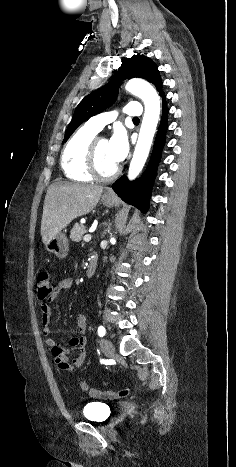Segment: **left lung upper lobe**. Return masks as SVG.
<instances>
[{
    "instance_id": "1",
    "label": "left lung upper lobe",
    "mask_w": 236,
    "mask_h": 467,
    "mask_svg": "<svg viewBox=\"0 0 236 467\" xmlns=\"http://www.w3.org/2000/svg\"><path fill=\"white\" fill-rule=\"evenodd\" d=\"M133 77L146 79L153 83L159 92L162 91V81L157 65L151 59L143 55L125 58L109 83L87 95L79 103L67 128L63 143L85 120L108 108L117 97L121 81Z\"/></svg>"
}]
</instances>
